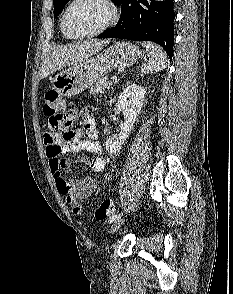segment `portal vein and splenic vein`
Returning a JSON list of instances; mask_svg holds the SVG:
<instances>
[{
  "instance_id": "1",
  "label": "portal vein and splenic vein",
  "mask_w": 233,
  "mask_h": 294,
  "mask_svg": "<svg viewBox=\"0 0 233 294\" xmlns=\"http://www.w3.org/2000/svg\"><path fill=\"white\" fill-rule=\"evenodd\" d=\"M111 79H112L113 81H117V77H116V76H112Z\"/></svg>"
}]
</instances>
